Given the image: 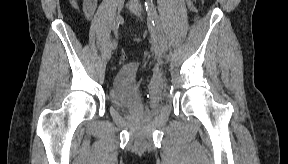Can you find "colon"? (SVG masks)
<instances>
[{
    "instance_id": "colon-1",
    "label": "colon",
    "mask_w": 288,
    "mask_h": 164,
    "mask_svg": "<svg viewBox=\"0 0 288 164\" xmlns=\"http://www.w3.org/2000/svg\"><path fill=\"white\" fill-rule=\"evenodd\" d=\"M84 14H85V16L89 17L92 14V11L90 9L85 8L84 9ZM120 58H121V61L124 62L127 59L126 53L122 51L121 55H120Z\"/></svg>"
}]
</instances>
